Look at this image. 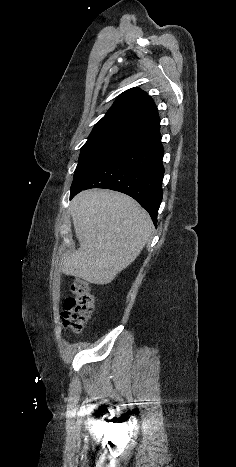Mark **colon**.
<instances>
[{
    "instance_id": "5ec220e1",
    "label": "colon",
    "mask_w": 236,
    "mask_h": 467,
    "mask_svg": "<svg viewBox=\"0 0 236 467\" xmlns=\"http://www.w3.org/2000/svg\"><path fill=\"white\" fill-rule=\"evenodd\" d=\"M73 296L64 301L62 323L73 332H82L94 309V297L90 284L81 278L71 281Z\"/></svg>"
}]
</instances>
